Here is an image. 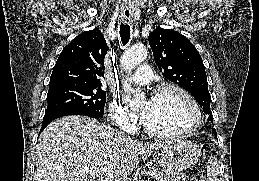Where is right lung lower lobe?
<instances>
[{
  "label": "right lung lower lobe",
  "mask_w": 259,
  "mask_h": 181,
  "mask_svg": "<svg viewBox=\"0 0 259 181\" xmlns=\"http://www.w3.org/2000/svg\"><path fill=\"white\" fill-rule=\"evenodd\" d=\"M67 115H84V116H89V117H92V118H95V119H99L101 118L102 116H98V115H94V114H91V113H87V112H67L65 114H62L60 115L59 117H62V116H67ZM57 117V118H59ZM57 118H54V119H51V120H48V121H45V122H42V127H41V130H40V133L41 131H43L45 129V127L51 123L53 120L57 119ZM39 133V134H40Z\"/></svg>",
  "instance_id": "1"
}]
</instances>
